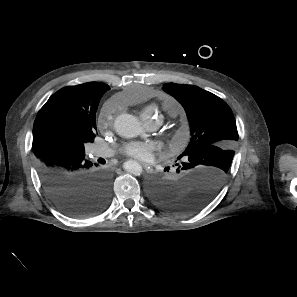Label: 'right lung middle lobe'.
Here are the masks:
<instances>
[{"label": "right lung middle lobe", "mask_w": 297, "mask_h": 297, "mask_svg": "<svg viewBox=\"0 0 297 297\" xmlns=\"http://www.w3.org/2000/svg\"><path fill=\"white\" fill-rule=\"evenodd\" d=\"M96 125L90 126L84 131L58 130L50 137V148L70 154H84L85 142H92L95 135Z\"/></svg>", "instance_id": "dd1d6c3e"}]
</instances>
